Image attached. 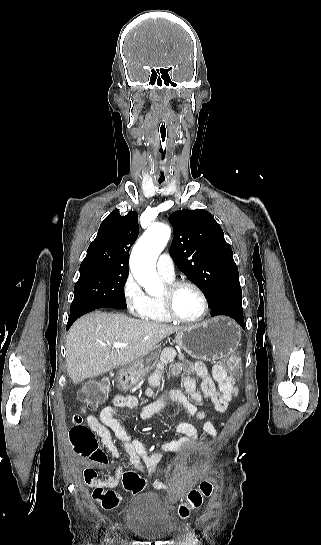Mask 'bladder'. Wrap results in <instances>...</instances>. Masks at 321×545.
Here are the masks:
<instances>
[{"mask_svg": "<svg viewBox=\"0 0 321 545\" xmlns=\"http://www.w3.org/2000/svg\"><path fill=\"white\" fill-rule=\"evenodd\" d=\"M124 524L136 537L150 542L165 540L174 531L165 501L152 492L140 493L129 502L124 513Z\"/></svg>", "mask_w": 321, "mask_h": 545, "instance_id": "bladder-1", "label": "bladder"}]
</instances>
